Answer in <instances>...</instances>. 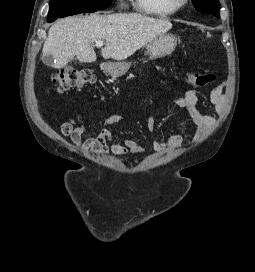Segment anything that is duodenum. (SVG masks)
Segmentation results:
<instances>
[{"instance_id": "duodenum-1", "label": "duodenum", "mask_w": 255, "mask_h": 272, "mask_svg": "<svg viewBox=\"0 0 255 272\" xmlns=\"http://www.w3.org/2000/svg\"><path fill=\"white\" fill-rule=\"evenodd\" d=\"M103 69H104V70H107V69H108V66H107V65H104V66H103Z\"/></svg>"}]
</instances>
